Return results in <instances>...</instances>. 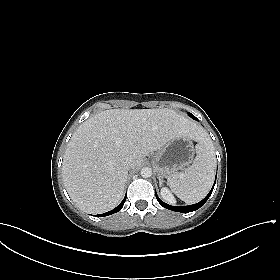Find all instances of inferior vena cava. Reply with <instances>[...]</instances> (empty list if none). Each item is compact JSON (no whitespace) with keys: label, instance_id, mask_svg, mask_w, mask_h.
Returning a JSON list of instances; mask_svg holds the SVG:
<instances>
[{"label":"inferior vena cava","instance_id":"1","mask_svg":"<svg viewBox=\"0 0 280 280\" xmlns=\"http://www.w3.org/2000/svg\"><path fill=\"white\" fill-rule=\"evenodd\" d=\"M123 165L127 170L132 169L135 166V160L132 156L125 157Z\"/></svg>","mask_w":280,"mask_h":280}]
</instances>
